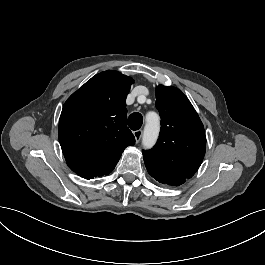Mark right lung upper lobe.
I'll return each instance as SVG.
<instances>
[{
  "label": "right lung upper lobe",
  "mask_w": 265,
  "mask_h": 265,
  "mask_svg": "<svg viewBox=\"0 0 265 265\" xmlns=\"http://www.w3.org/2000/svg\"><path fill=\"white\" fill-rule=\"evenodd\" d=\"M133 79L103 71L65 102L59 142L69 168L77 174L107 175L135 138L126 125V97Z\"/></svg>",
  "instance_id": "1"
}]
</instances>
